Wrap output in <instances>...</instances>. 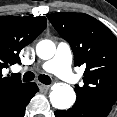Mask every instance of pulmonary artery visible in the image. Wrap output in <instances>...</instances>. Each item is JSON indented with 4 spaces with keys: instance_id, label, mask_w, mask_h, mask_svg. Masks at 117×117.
I'll use <instances>...</instances> for the list:
<instances>
[{
    "instance_id": "obj_1",
    "label": "pulmonary artery",
    "mask_w": 117,
    "mask_h": 117,
    "mask_svg": "<svg viewBox=\"0 0 117 117\" xmlns=\"http://www.w3.org/2000/svg\"><path fill=\"white\" fill-rule=\"evenodd\" d=\"M73 54L71 47L66 42H60L57 46L55 56L42 65L43 70L54 73L69 84L76 82V77L72 72Z\"/></svg>"
}]
</instances>
